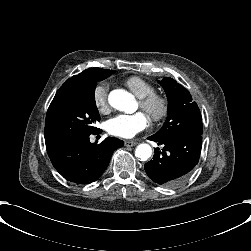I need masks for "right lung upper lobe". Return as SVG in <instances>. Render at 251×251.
Instances as JSON below:
<instances>
[{"label":"right lung upper lobe","mask_w":251,"mask_h":251,"mask_svg":"<svg viewBox=\"0 0 251 251\" xmlns=\"http://www.w3.org/2000/svg\"><path fill=\"white\" fill-rule=\"evenodd\" d=\"M87 70V69H86ZM80 76V74L76 75V76H73L71 78H69L62 86H65V85H68L72 82H74L78 77ZM45 143H46V147L47 146H50V145H53L55 143H57L56 141H53V140H50L48 138H45Z\"/></svg>","instance_id":"right-lung-upper-lobe-1"}]
</instances>
